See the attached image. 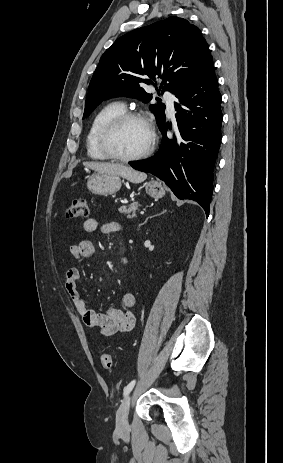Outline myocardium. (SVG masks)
Masks as SVG:
<instances>
[{
	"instance_id": "myocardium-1",
	"label": "myocardium",
	"mask_w": 283,
	"mask_h": 463,
	"mask_svg": "<svg viewBox=\"0 0 283 463\" xmlns=\"http://www.w3.org/2000/svg\"><path fill=\"white\" fill-rule=\"evenodd\" d=\"M129 120H139L143 122L149 130L150 141L147 147L142 152L136 155H133V156H123V155L116 153L113 150L111 146V140L116 130L122 124H124L125 122ZM156 142H157V131L155 129L153 122L146 115H144L143 113L137 112V111H124L123 113L112 118L103 127L100 133V137H99L100 148L104 152V154L109 159L123 162V163L139 161V160L145 159L146 157L150 156L151 153L154 151Z\"/></svg>"
}]
</instances>
